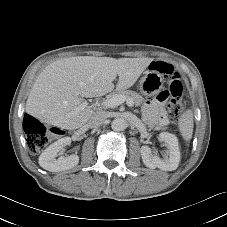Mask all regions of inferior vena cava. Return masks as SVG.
<instances>
[{
  "instance_id": "602c4592",
  "label": "inferior vena cava",
  "mask_w": 227,
  "mask_h": 227,
  "mask_svg": "<svg viewBox=\"0 0 227 227\" xmlns=\"http://www.w3.org/2000/svg\"><path fill=\"white\" fill-rule=\"evenodd\" d=\"M106 118L107 116L104 111H97L89 118L87 125L90 128H97L104 123Z\"/></svg>"
}]
</instances>
